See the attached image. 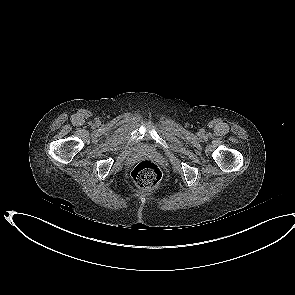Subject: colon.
<instances>
[{"instance_id": "obj_1", "label": "colon", "mask_w": 295, "mask_h": 295, "mask_svg": "<svg viewBox=\"0 0 295 295\" xmlns=\"http://www.w3.org/2000/svg\"><path fill=\"white\" fill-rule=\"evenodd\" d=\"M132 178L138 187L148 189L161 181L162 172L154 162L143 160L133 169Z\"/></svg>"}]
</instances>
